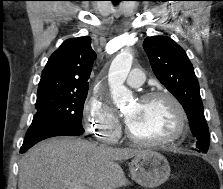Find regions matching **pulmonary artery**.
<instances>
[{
    "mask_svg": "<svg viewBox=\"0 0 223 189\" xmlns=\"http://www.w3.org/2000/svg\"><path fill=\"white\" fill-rule=\"evenodd\" d=\"M127 85L139 87L144 83V73L141 69L134 68L126 79Z\"/></svg>",
    "mask_w": 223,
    "mask_h": 189,
    "instance_id": "obj_1",
    "label": "pulmonary artery"
}]
</instances>
